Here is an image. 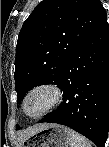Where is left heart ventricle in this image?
Returning a JSON list of instances; mask_svg holds the SVG:
<instances>
[{"instance_id": "obj_1", "label": "left heart ventricle", "mask_w": 109, "mask_h": 147, "mask_svg": "<svg viewBox=\"0 0 109 147\" xmlns=\"http://www.w3.org/2000/svg\"><path fill=\"white\" fill-rule=\"evenodd\" d=\"M50 101V95L46 92L32 94L27 100V110L30 114L36 115L41 112Z\"/></svg>"}]
</instances>
